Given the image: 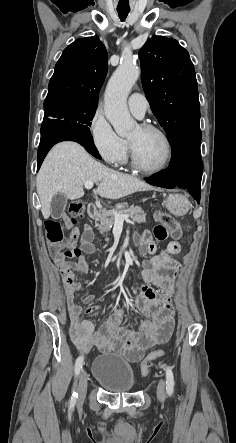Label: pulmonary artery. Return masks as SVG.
I'll use <instances>...</instances> for the list:
<instances>
[{"instance_id": "e3ab8cb5", "label": "pulmonary artery", "mask_w": 236, "mask_h": 443, "mask_svg": "<svg viewBox=\"0 0 236 443\" xmlns=\"http://www.w3.org/2000/svg\"><path fill=\"white\" fill-rule=\"evenodd\" d=\"M148 101L141 93H132L128 99V107L132 114L138 118H142L148 109Z\"/></svg>"}]
</instances>
